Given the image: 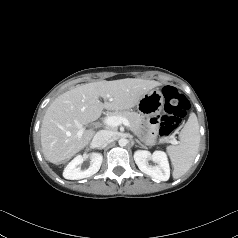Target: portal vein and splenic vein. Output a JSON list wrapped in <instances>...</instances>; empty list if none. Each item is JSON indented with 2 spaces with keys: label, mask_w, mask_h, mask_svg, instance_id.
I'll list each match as a JSON object with an SVG mask.
<instances>
[{
  "label": "portal vein and splenic vein",
  "mask_w": 238,
  "mask_h": 238,
  "mask_svg": "<svg viewBox=\"0 0 238 238\" xmlns=\"http://www.w3.org/2000/svg\"><path fill=\"white\" fill-rule=\"evenodd\" d=\"M104 124L111 126V127H117L119 125H124L126 127H130V122L123 117L120 116H108L104 119ZM84 131V128H80V131L78 132V135H81ZM171 143L177 144V140L173 139L171 140Z\"/></svg>",
  "instance_id": "obj_1"
}]
</instances>
